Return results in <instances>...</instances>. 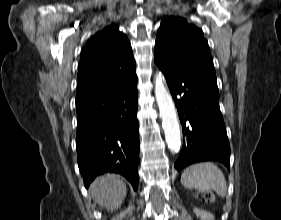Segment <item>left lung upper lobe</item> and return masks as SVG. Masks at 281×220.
<instances>
[{"instance_id": "left-lung-upper-lobe-1", "label": "left lung upper lobe", "mask_w": 281, "mask_h": 220, "mask_svg": "<svg viewBox=\"0 0 281 220\" xmlns=\"http://www.w3.org/2000/svg\"><path fill=\"white\" fill-rule=\"evenodd\" d=\"M154 61L191 69L217 85L209 46L201 29L181 17H166L158 29Z\"/></svg>"}]
</instances>
